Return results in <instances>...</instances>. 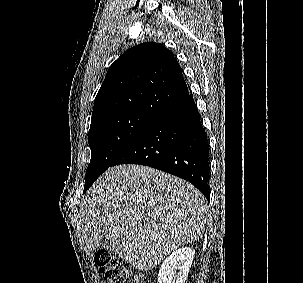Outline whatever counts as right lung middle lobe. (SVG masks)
Here are the masks:
<instances>
[{"mask_svg":"<svg viewBox=\"0 0 303 283\" xmlns=\"http://www.w3.org/2000/svg\"><path fill=\"white\" fill-rule=\"evenodd\" d=\"M156 115L126 112L101 119L90 126L91 161L85 175L84 192L131 145Z\"/></svg>","mask_w":303,"mask_h":283,"instance_id":"1","label":"right lung middle lobe"}]
</instances>
